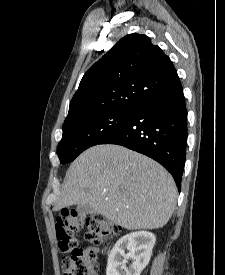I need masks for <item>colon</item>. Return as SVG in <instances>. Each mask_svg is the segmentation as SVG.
Listing matches in <instances>:
<instances>
[{
	"mask_svg": "<svg viewBox=\"0 0 225 275\" xmlns=\"http://www.w3.org/2000/svg\"><path fill=\"white\" fill-rule=\"evenodd\" d=\"M84 226L87 227V241L95 245L119 233L118 227L106 219L94 215H81L68 209L63 210L55 225L59 249L62 252H70L62 259L63 275H91L92 273L95 252L78 248L74 236Z\"/></svg>",
	"mask_w": 225,
	"mask_h": 275,
	"instance_id": "colon-1",
	"label": "colon"
}]
</instances>
